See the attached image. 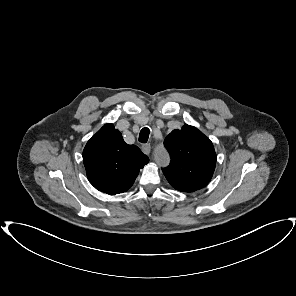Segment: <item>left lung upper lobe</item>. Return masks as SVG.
Returning <instances> with one entry per match:
<instances>
[{
    "instance_id": "obj_1",
    "label": "left lung upper lobe",
    "mask_w": 296,
    "mask_h": 296,
    "mask_svg": "<svg viewBox=\"0 0 296 296\" xmlns=\"http://www.w3.org/2000/svg\"><path fill=\"white\" fill-rule=\"evenodd\" d=\"M171 162L162 171L178 191L194 192L205 187L212 178L216 153L210 139L197 128L185 124L173 130L164 140Z\"/></svg>"
}]
</instances>
